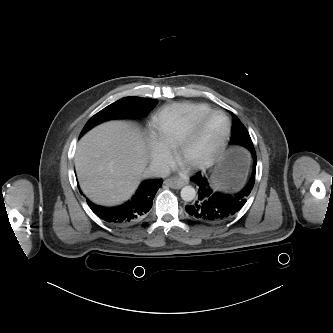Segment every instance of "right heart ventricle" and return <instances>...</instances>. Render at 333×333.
Masks as SVG:
<instances>
[{"instance_id":"e07e8e85","label":"right heart ventricle","mask_w":333,"mask_h":333,"mask_svg":"<svg viewBox=\"0 0 333 333\" xmlns=\"http://www.w3.org/2000/svg\"><path fill=\"white\" fill-rule=\"evenodd\" d=\"M212 108L200 102H182L163 107L152 120V133L169 150L176 148L194 121Z\"/></svg>"}]
</instances>
